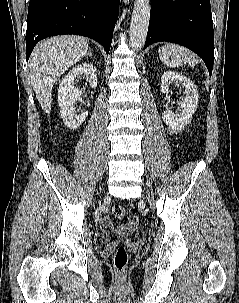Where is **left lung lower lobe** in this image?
Masks as SVG:
<instances>
[{
	"label": "left lung lower lobe",
	"instance_id": "1",
	"mask_svg": "<svg viewBox=\"0 0 239 303\" xmlns=\"http://www.w3.org/2000/svg\"><path fill=\"white\" fill-rule=\"evenodd\" d=\"M161 41L194 51L203 59L211 76L214 35L210 0H152L144 49Z\"/></svg>",
	"mask_w": 239,
	"mask_h": 303
}]
</instances>
